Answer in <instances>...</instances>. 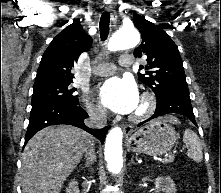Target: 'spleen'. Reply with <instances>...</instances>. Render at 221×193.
Returning <instances> with one entry per match:
<instances>
[{
	"instance_id": "3e777b00",
	"label": "spleen",
	"mask_w": 221,
	"mask_h": 193,
	"mask_svg": "<svg viewBox=\"0 0 221 193\" xmlns=\"http://www.w3.org/2000/svg\"><path fill=\"white\" fill-rule=\"evenodd\" d=\"M183 142L189 147L187 153L188 157L196 162H201L203 159V152L197 134L190 129H186L183 134Z\"/></svg>"
}]
</instances>
